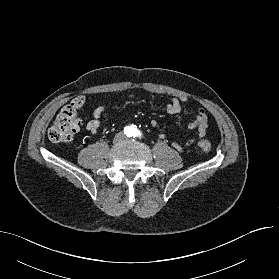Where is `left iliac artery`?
Returning a JSON list of instances; mask_svg holds the SVG:
<instances>
[{
	"label": "left iliac artery",
	"mask_w": 279,
	"mask_h": 279,
	"mask_svg": "<svg viewBox=\"0 0 279 279\" xmlns=\"http://www.w3.org/2000/svg\"><path fill=\"white\" fill-rule=\"evenodd\" d=\"M141 134L142 133L138 129H136V128L133 129V133H132L133 137H140Z\"/></svg>",
	"instance_id": "1"
}]
</instances>
